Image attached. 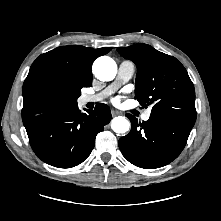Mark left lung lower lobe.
Here are the masks:
<instances>
[{
    "instance_id": "obj_1",
    "label": "left lung lower lobe",
    "mask_w": 221,
    "mask_h": 221,
    "mask_svg": "<svg viewBox=\"0 0 221 221\" xmlns=\"http://www.w3.org/2000/svg\"><path fill=\"white\" fill-rule=\"evenodd\" d=\"M131 131L120 138L123 156L135 166L154 169L176 159L184 149L192 127L163 118L150 116L142 123L130 115Z\"/></svg>"
}]
</instances>
